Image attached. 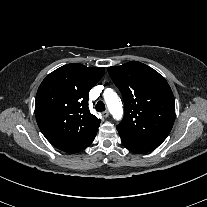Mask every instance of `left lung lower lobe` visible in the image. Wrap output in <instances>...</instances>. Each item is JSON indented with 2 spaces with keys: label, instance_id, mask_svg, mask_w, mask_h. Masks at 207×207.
Returning <instances> with one entry per match:
<instances>
[{
  "label": "left lung lower lobe",
  "instance_id": "0a47b994",
  "mask_svg": "<svg viewBox=\"0 0 207 207\" xmlns=\"http://www.w3.org/2000/svg\"><path fill=\"white\" fill-rule=\"evenodd\" d=\"M121 140L123 145L130 150L131 152L134 153H146L149 152L159 145L152 144V143H147V142H142L135 140L133 138H129L125 135L120 134Z\"/></svg>",
  "mask_w": 207,
  "mask_h": 207
}]
</instances>
